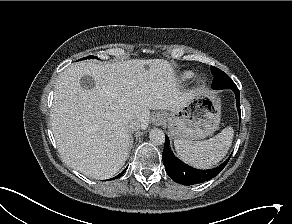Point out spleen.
Listing matches in <instances>:
<instances>
[{
	"instance_id": "1",
	"label": "spleen",
	"mask_w": 292,
	"mask_h": 224,
	"mask_svg": "<svg viewBox=\"0 0 292 224\" xmlns=\"http://www.w3.org/2000/svg\"><path fill=\"white\" fill-rule=\"evenodd\" d=\"M234 131L223 129L218 135L205 141L174 140L178 156L186 163L200 169H208L219 163L231 147Z\"/></svg>"
}]
</instances>
